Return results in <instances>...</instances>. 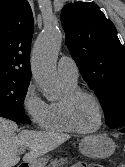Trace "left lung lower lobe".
<instances>
[{"instance_id":"1","label":"left lung lower lobe","mask_w":125,"mask_h":167,"mask_svg":"<svg viewBox=\"0 0 125 167\" xmlns=\"http://www.w3.org/2000/svg\"><path fill=\"white\" fill-rule=\"evenodd\" d=\"M118 130L122 133H125V128H118Z\"/></svg>"}]
</instances>
